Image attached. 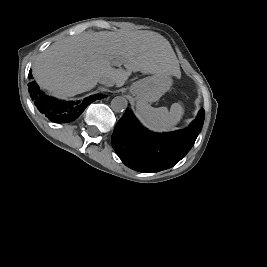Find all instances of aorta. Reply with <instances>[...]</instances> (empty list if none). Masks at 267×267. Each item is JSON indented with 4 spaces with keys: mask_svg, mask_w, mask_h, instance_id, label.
I'll use <instances>...</instances> for the list:
<instances>
[{
    "mask_svg": "<svg viewBox=\"0 0 267 267\" xmlns=\"http://www.w3.org/2000/svg\"><path fill=\"white\" fill-rule=\"evenodd\" d=\"M128 106V101L125 97L117 96L111 101V108L115 112H123Z\"/></svg>",
    "mask_w": 267,
    "mask_h": 267,
    "instance_id": "aorta-1",
    "label": "aorta"
}]
</instances>
